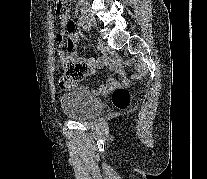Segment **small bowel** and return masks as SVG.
<instances>
[{
    "instance_id": "1",
    "label": "small bowel",
    "mask_w": 207,
    "mask_h": 179,
    "mask_svg": "<svg viewBox=\"0 0 207 179\" xmlns=\"http://www.w3.org/2000/svg\"><path fill=\"white\" fill-rule=\"evenodd\" d=\"M61 30L57 34V40L61 39L66 31L68 33V49L72 54H75V46L76 43L79 41V34L77 31L76 24L70 20V16L66 15L61 17L60 20ZM90 67V66H89ZM109 67L114 69L120 76V79L109 78L106 82L102 83L95 91L100 94L104 95L108 93L111 89L118 87V86H126L128 84V79L125 75L124 69L118 59H110L107 56H101L96 59L92 64L91 68H103ZM70 84H63L64 88H70Z\"/></svg>"
}]
</instances>
